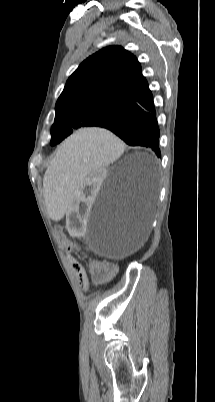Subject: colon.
<instances>
[{"mask_svg": "<svg viewBox=\"0 0 215 402\" xmlns=\"http://www.w3.org/2000/svg\"><path fill=\"white\" fill-rule=\"evenodd\" d=\"M56 230H62L64 225L62 223H56L54 225ZM55 237L58 238V241L64 245V251L66 254H78L80 251H83V248H80L76 244L74 239H68L67 236H64L63 232H58L55 234ZM81 259L87 260L90 257L89 252L83 251L80 254ZM73 268L78 272L81 271V266L76 261L71 262ZM116 266L112 263L98 262L92 268V273L96 281L103 282L110 277L116 274Z\"/></svg>", "mask_w": 215, "mask_h": 402, "instance_id": "colon-1", "label": "colon"}]
</instances>
